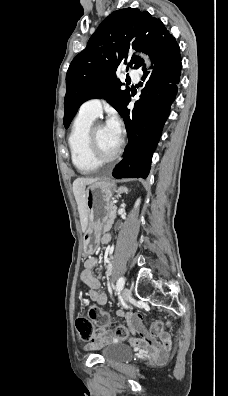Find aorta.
Segmentation results:
<instances>
[{"label":"aorta","mask_w":228,"mask_h":396,"mask_svg":"<svg viewBox=\"0 0 228 396\" xmlns=\"http://www.w3.org/2000/svg\"><path fill=\"white\" fill-rule=\"evenodd\" d=\"M141 57H144L142 54H141ZM145 58V57H144ZM148 65H149V62H148Z\"/></svg>","instance_id":"aorta-1"}]
</instances>
